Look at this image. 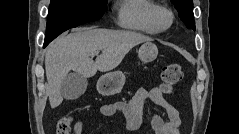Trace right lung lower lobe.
Here are the masks:
<instances>
[{
  "instance_id": "obj_1",
  "label": "right lung lower lobe",
  "mask_w": 239,
  "mask_h": 134,
  "mask_svg": "<svg viewBox=\"0 0 239 134\" xmlns=\"http://www.w3.org/2000/svg\"><path fill=\"white\" fill-rule=\"evenodd\" d=\"M53 39H45V43H44V47L49 43L51 42Z\"/></svg>"
}]
</instances>
